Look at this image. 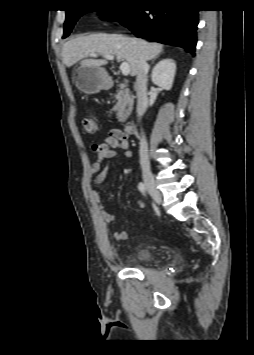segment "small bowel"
<instances>
[{
    "label": "small bowel",
    "instance_id": "small-bowel-1",
    "mask_svg": "<svg viewBox=\"0 0 254 355\" xmlns=\"http://www.w3.org/2000/svg\"><path fill=\"white\" fill-rule=\"evenodd\" d=\"M96 159L91 166V172L95 174L94 182L100 185L104 182L110 164L120 157L130 158L132 152L130 151V138L120 129H113L105 136L101 143H93L91 145ZM122 151L120 153L119 151ZM92 200L98 205L100 215L106 223H113L117 217L108 211L102 205L101 197L98 191L93 190L91 192ZM137 205L140 209L146 207V203L143 200H139ZM128 238V233L125 230H120L114 233V239L116 241H124Z\"/></svg>",
    "mask_w": 254,
    "mask_h": 355
}]
</instances>
